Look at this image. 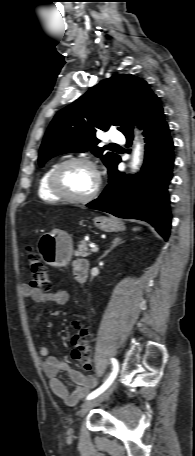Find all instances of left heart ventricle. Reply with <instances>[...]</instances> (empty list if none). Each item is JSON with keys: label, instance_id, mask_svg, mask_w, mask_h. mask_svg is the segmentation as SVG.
<instances>
[{"label": "left heart ventricle", "instance_id": "left-heart-ventricle-1", "mask_svg": "<svg viewBox=\"0 0 195 456\" xmlns=\"http://www.w3.org/2000/svg\"><path fill=\"white\" fill-rule=\"evenodd\" d=\"M60 181L65 191L73 196L89 194L96 182L93 170L84 164H71L61 173Z\"/></svg>", "mask_w": 195, "mask_h": 456}]
</instances>
